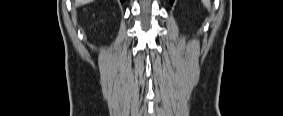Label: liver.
I'll use <instances>...</instances> for the list:
<instances>
[{"label":"liver","instance_id":"obj_1","mask_svg":"<svg viewBox=\"0 0 283 116\" xmlns=\"http://www.w3.org/2000/svg\"><path fill=\"white\" fill-rule=\"evenodd\" d=\"M92 0H75V5L79 6V5H84L87 4L89 2H91Z\"/></svg>","mask_w":283,"mask_h":116}]
</instances>
